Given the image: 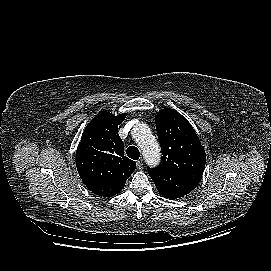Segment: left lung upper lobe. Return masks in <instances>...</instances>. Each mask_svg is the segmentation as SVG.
<instances>
[{
	"label": "left lung upper lobe",
	"mask_w": 271,
	"mask_h": 271,
	"mask_svg": "<svg viewBox=\"0 0 271 271\" xmlns=\"http://www.w3.org/2000/svg\"><path fill=\"white\" fill-rule=\"evenodd\" d=\"M155 121L163 156L156 168L147 169L157 190L162 196L167 194L176 178L197 186L205 169L206 154L191 124L171 108L158 112Z\"/></svg>",
	"instance_id": "5c2ea615"
}]
</instances>
